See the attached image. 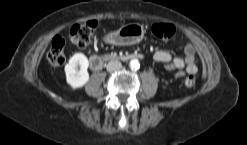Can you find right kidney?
Returning <instances> with one entry per match:
<instances>
[{"instance_id":"obj_1","label":"right kidney","mask_w":247,"mask_h":145,"mask_svg":"<svg viewBox=\"0 0 247 145\" xmlns=\"http://www.w3.org/2000/svg\"><path fill=\"white\" fill-rule=\"evenodd\" d=\"M88 66V59L83 53H75L65 65L66 80L72 89L83 87L89 81Z\"/></svg>"}]
</instances>
